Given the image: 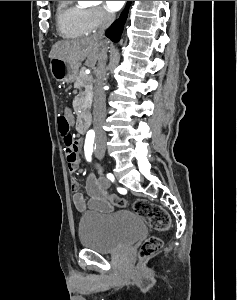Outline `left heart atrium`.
Instances as JSON below:
<instances>
[{
	"mask_svg": "<svg viewBox=\"0 0 237 300\" xmlns=\"http://www.w3.org/2000/svg\"><path fill=\"white\" fill-rule=\"evenodd\" d=\"M125 1H105L106 8L111 12H116L120 10Z\"/></svg>",
	"mask_w": 237,
	"mask_h": 300,
	"instance_id": "39dd6f15",
	"label": "left heart atrium"
}]
</instances>
